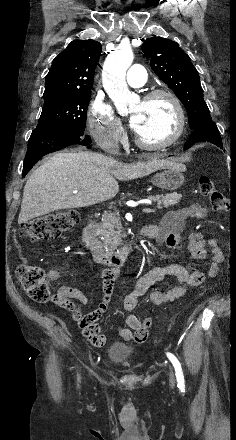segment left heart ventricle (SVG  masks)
<instances>
[{
    "label": "left heart ventricle",
    "instance_id": "left-heart-ventricle-1",
    "mask_svg": "<svg viewBox=\"0 0 236 440\" xmlns=\"http://www.w3.org/2000/svg\"><path fill=\"white\" fill-rule=\"evenodd\" d=\"M140 113L141 121L136 134L149 143H160L169 139L175 131L176 115L172 103L166 97L147 102L140 101L132 109Z\"/></svg>",
    "mask_w": 236,
    "mask_h": 440
}]
</instances>
